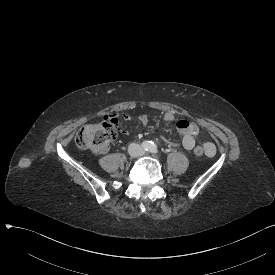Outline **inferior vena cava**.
I'll use <instances>...</instances> for the list:
<instances>
[{
    "instance_id": "obj_1",
    "label": "inferior vena cava",
    "mask_w": 275,
    "mask_h": 275,
    "mask_svg": "<svg viewBox=\"0 0 275 275\" xmlns=\"http://www.w3.org/2000/svg\"><path fill=\"white\" fill-rule=\"evenodd\" d=\"M129 151L134 157L142 156L145 153L144 148L138 143H133Z\"/></svg>"
}]
</instances>
